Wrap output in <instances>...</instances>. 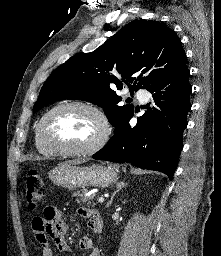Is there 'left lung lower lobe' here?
<instances>
[{
	"label": "left lung lower lobe",
	"instance_id": "0a47b994",
	"mask_svg": "<svg viewBox=\"0 0 221 256\" xmlns=\"http://www.w3.org/2000/svg\"><path fill=\"white\" fill-rule=\"evenodd\" d=\"M189 76L190 71L185 66L150 88L148 91L162 111L153 108L146 112L137 119L135 127H130L131 118L117 125L114 135L93 158L131 163L139 168L166 173L172 179L183 148L182 134L191 108Z\"/></svg>",
	"mask_w": 221,
	"mask_h": 256
}]
</instances>
